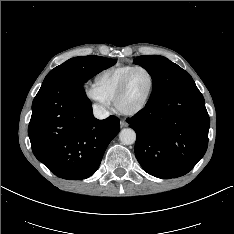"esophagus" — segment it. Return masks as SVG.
Here are the masks:
<instances>
[{
    "mask_svg": "<svg viewBox=\"0 0 234 234\" xmlns=\"http://www.w3.org/2000/svg\"><path fill=\"white\" fill-rule=\"evenodd\" d=\"M120 126H121V127H127V126H128L127 121L124 120V119H121V121H120Z\"/></svg>",
    "mask_w": 234,
    "mask_h": 234,
    "instance_id": "esophagus-1",
    "label": "esophagus"
}]
</instances>
